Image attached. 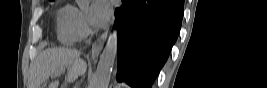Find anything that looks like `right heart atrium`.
Instances as JSON below:
<instances>
[{
	"label": "right heart atrium",
	"mask_w": 267,
	"mask_h": 88,
	"mask_svg": "<svg viewBox=\"0 0 267 88\" xmlns=\"http://www.w3.org/2000/svg\"><path fill=\"white\" fill-rule=\"evenodd\" d=\"M66 29V39L69 41H80L86 36L87 28L85 21L82 14L77 9H74L70 18L66 21Z\"/></svg>",
	"instance_id": "right-heart-atrium-1"
}]
</instances>
